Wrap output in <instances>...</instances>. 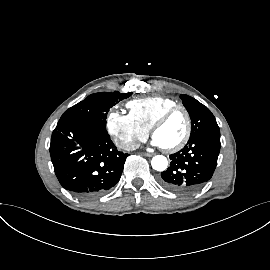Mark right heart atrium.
Instances as JSON below:
<instances>
[{"instance_id":"obj_1","label":"right heart atrium","mask_w":270,"mask_h":270,"mask_svg":"<svg viewBox=\"0 0 270 270\" xmlns=\"http://www.w3.org/2000/svg\"><path fill=\"white\" fill-rule=\"evenodd\" d=\"M106 128L118 145L126 150L134 149L139 142L147 138L149 133V130L140 125L130 113L116 110L108 113Z\"/></svg>"}]
</instances>
